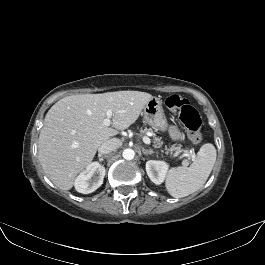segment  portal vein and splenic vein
Segmentation results:
<instances>
[{
	"label": "portal vein and splenic vein",
	"mask_w": 265,
	"mask_h": 265,
	"mask_svg": "<svg viewBox=\"0 0 265 265\" xmlns=\"http://www.w3.org/2000/svg\"><path fill=\"white\" fill-rule=\"evenodd\" d=\"M112 115H113V112L111 110H107V112H106V118L104 119V125L105 126H110ZM143 142L145 144H147V145H150L151 144V140L147 136H144L143 137ZM184 156H190L192 158L195 157L194 154H192L191 152H188V151H185Z\"/></svg>",
	"instance_id": "portal-vein-and-splenic-vein-1"
}]
</instances>
